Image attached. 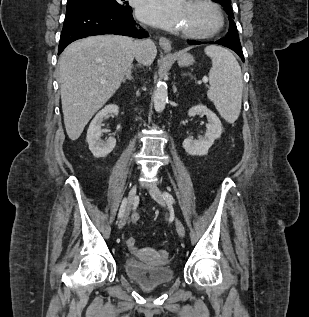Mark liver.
I'll list each match as a JSON object with an SVG mask.
<instances>
[{"instance_id":"6515ba94","label":"liver","mask_w":309,"mask_h":317,"mask_svg":"<svg viewBox=\"0 0 309 317\" xmlns=\"http://www.w3.org/2000/svg\"><path fill=\"white\" fill-rule=\"evenodd\" d=\"M143 43L139 62L150 66L154 43ZM135 57L134 41L119 35H98L71 43L59 59V82L64 124L77 140L92 116L120 87Z\"/></svg>"}]
</instances>
